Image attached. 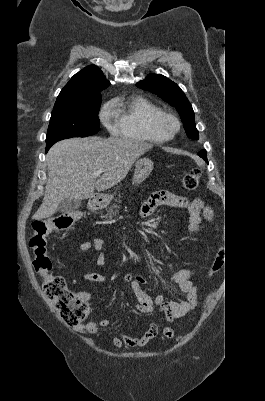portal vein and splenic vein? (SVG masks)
<instances>
[{
    "label": "portal vein and splenic vein",
    "instance_id": "obj_1",
    "mask_svg": "<svg viewBox=\"0 0 265 401\" xmlns=\"http://www.w3.org/2000/svg\"><path fill=\"white\" fill-rule=\"evenodd\" d=\"M104 172V168H98L96 172H92V176H99V174H102Z\"/></svg>",
    "mask_w": 265,
    "mask_h": 401
}]
</instances>
